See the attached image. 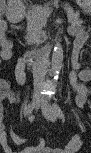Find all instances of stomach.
<instances>
[{"label":"stomach","instance_id":"obj_1","mask_svg":"<svg viewBox=\"0 0 91 153\" xmlns=\"http://www.w3.org/2000/svg\"><path fill=\"white\" fill-rule=\"evenodd\" d=\"M78 2H79V3H81V1H78ZM81 4L85 6V5H89V4H90V2H89V1H85V0H84V1H82V3H81Z\"/></svg>","mask_w":91,"mask_h":153}]
</instances>
